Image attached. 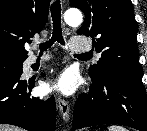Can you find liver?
Segmentation results:
<instances>
[{
  "mask_svg": "<svg viewBox=\"0 0 147 131\" xmlns=\"http://www.w3.org/2000/svg\"><path fill=\"white\" fill-rule=\"evenodd\" d=\"M0 131H22V129L10 125L0 124Z\"/></svg>",
  "mask_w": 147,
  "mask_h": 131,
  "instance_id": "liver-1",
  "label": "liver"
}]
</instances>
